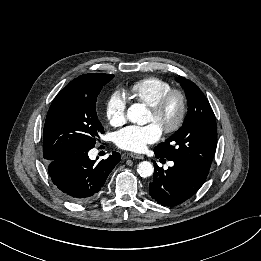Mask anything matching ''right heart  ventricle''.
Here are the masks:
<instances>
[{"label":"right heart ventricle","mask_w":261,"mask_h":261,"mask_svg":"<svg viewBox=\"0 0 261 261\" xmlns=\"http://www.w3.org/2000/svg\"><path fill=\"white\" fill-rule=\"evenodd\" d=\"M171 89L169 82L156 77H147L135 82L130 87L128 95L133 100L151 107Z\"/></svg>","instance_id":"1"}]
</instances>
